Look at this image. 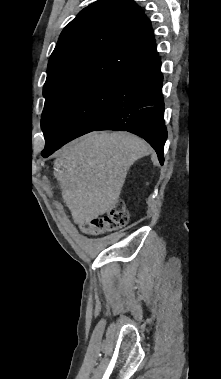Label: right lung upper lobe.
<instances>
[{
  "instance_id": "1",
  "label": "right lung upper lobe",
  "mask_w": 221,
  "mask_h": 379,
  "mask_svg": "<svg viewBox=\"0 0 221 379\" xmlns=\"http://www.w3.org/2000/svg\"><path fill=\"white\" fill-rule=\"evenodd\" d=\"M156 57L150 21L133 0L96 1L63 29L49 59L43 95L96 77H122Z\"/></svg>"
}]
</instances>
